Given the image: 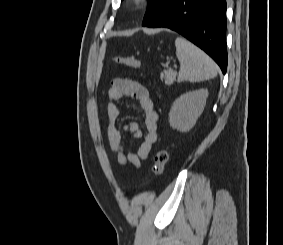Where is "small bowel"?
Here are the masks:
<instances>
[{
  "instance_id": "c3829d8e",
  "label": "small bowel",
  "mask_w": 283,
  "mask_h": 245,
  "mask_svg": "<svg viewBox=\"0 0 283 245\" xmlns=\"http://www.w3.org/2000/svg\"><path fill=\"white\" fill-rule=\"evenodd\" d=\"M109 105L106 115L107 143L110 151L115 155L122 166L128 164L140 168L142 161L149 157L152 146L157 141L158 113L154 108L153 100L145 86L135 79L115 78L108 91ZM130 98L136 101L143 112L144 131L136 122H128L120 129L117 125L120 114L118 103ZM130 132L142 142L137 152L125 151L123 133Z\"/></svg>"
}]
</instances>
